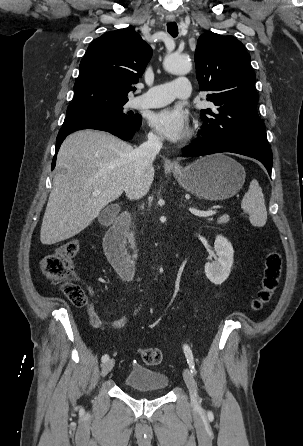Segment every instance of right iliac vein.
I'll list each match as a JSON object with an SVG mask.
<instances>
[{"label":"right iliac vein","mask_w":303,"mask_h":446,"mask_svg":"<svg viewBox=\"0 0 303 446\" xmlns=\"http://www.w3.org/2000/svg\"><path fill=\"white\" fill-rule=\"evenodd\" d=\"M115 361L114 359H109L108 361L102 364L101 368V376H106L114 367Z\"/></svg>","instance_id":"1"}]
</instances>
